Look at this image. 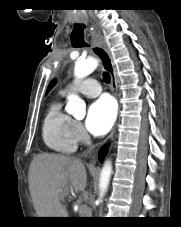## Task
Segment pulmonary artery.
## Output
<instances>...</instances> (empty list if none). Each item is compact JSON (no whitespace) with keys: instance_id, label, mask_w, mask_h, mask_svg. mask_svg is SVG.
Returning a JSON list of instances; mask_svg holds the SVG:
<instances>
[{"instance_id":"obj_1","label":"pulmonary artery","mask_w":181,"mask_h":227,"mask_svg":"<svg viewBox=\"0 0 181 227\" xmlns=\"http://www.w3.org/2000/svg\"><path fill=\"white\" fill-rule=\"evenodd\" d=\"M70 90H76L86 97H96L98 96L102 88L94 79H86L78 83H70L63 91V93L69 92Z\"/></svg>"}]
</instances>
